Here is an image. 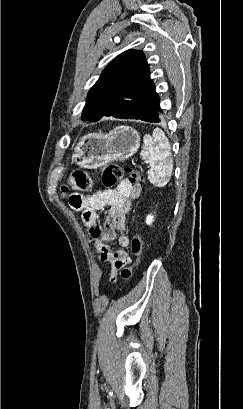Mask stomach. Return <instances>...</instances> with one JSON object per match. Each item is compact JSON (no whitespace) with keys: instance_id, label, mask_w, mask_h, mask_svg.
I'll use <instances>...</instances> for the list:
<instances>
[{"instance_id":"stomach-1","label":"stomach","mask_w":243,"mask_h":409,"mask_svg":"<svg viewBox=\"0 0 243 409\" xmlns=\"http://www.w3.org/2000/svg\"><path fill=\"white\" fill-rule=\"evenodd\" d=\"M139 146L138 131L128 126H118L107 134L85 135L74 148L72 161L83 168H97L105 163L128 159Z\"/></svg>"}]
</instances>
